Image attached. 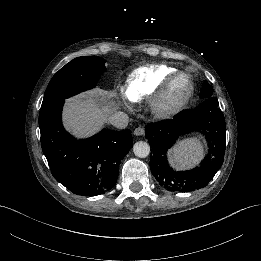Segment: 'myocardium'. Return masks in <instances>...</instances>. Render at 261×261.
<instances>
[{
    "label": "myocardium",
    "mask_w": 261,
    "mask_h": 261,
    "mask_svg": "<svg viewBox=\"0 0 261 261\" xmlns=\"http://www.w3.org/2000/svg\"><path fill=\"white\" fill-rule=\"evenodd\" d=\"M179 81L186 84L185 94H175V88ZM194 92V85L191 77L184 72H176L168 78L153 101V111L159 116H170L180 112L189 102Z\"/></svg>",
    "instance_id": "1"
}]
</instances>
